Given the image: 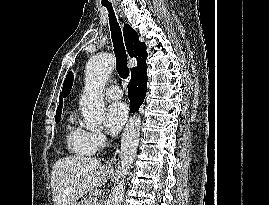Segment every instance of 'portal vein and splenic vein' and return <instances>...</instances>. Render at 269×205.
Wrapping results in <instances>:
<instances>
[{"instance_id": "obj_1", "label": "portal vein and splenic vein", "mask_w": 269, "mask_h": 205, "mask_svg": "<svg viewBox=\"0 0 269 205\" xmlns=\"http://www.w3.org/2000/svg\"><path fill=\"white\" fill-rule=\"evenodd\" d=\"M95 205H101L100 202L96 201Z\"/></svg>"}]
</instances>
